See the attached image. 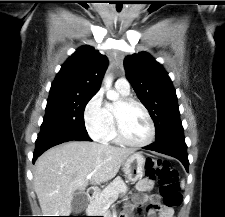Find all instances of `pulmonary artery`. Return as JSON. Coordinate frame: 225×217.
I'll return each instance as SVG.
<instances>
[{
	"mask_svg": "<svg viewBox=\"0 0 225 217\" xmlns=\"http://www.w3.org/2000/svg\"><path fill=\"white\" fill-rule=\"evenodd\" d=\"M115 87L117 90L129 94L130 93V83L128 82V80L126 78H119L116 82H115Z\"/></svg>",
	"mask_w": 225,
	"mask_h": 217,
	"instance_id": "pulmonary-artery-1",
	"label": "pulmonary artery"
}]
</instances>
